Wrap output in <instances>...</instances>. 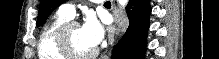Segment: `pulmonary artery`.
Instances as JSON below:
<instances>
[{
    "instance_id": "e3ab8cb5",
    "label": "pulmonary artery",
    "mask_w": 219,
    "mask_h": 59,
    "mask_svg": "<svg viewBox=\"0 0 219 59\" xmlns=\"http://www.w3.org/2000/svg\"><path fill=\"white\" fill-rule=\"evenodd\" d=\"M76 5L74 3H66L60 6L59 12L68 18H73L75 15Z\"/></svg>"
}]
</instances>
